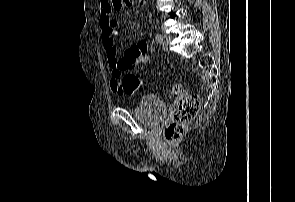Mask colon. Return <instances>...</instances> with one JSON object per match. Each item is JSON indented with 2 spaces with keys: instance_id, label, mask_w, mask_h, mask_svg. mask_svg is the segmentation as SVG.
<instances>
[{
  "instance_id": "5ec220e1",
  "label": "colon",
  "mask_w": 295,
  "mask_h": 202,
  "mask_svg": "<svg viewBox=\"0 0 295 202\" xmlns=\"http://www.w3.org/2000/svg\"><path fill=\"white\" fill-rule=\"evenodd\" d=\"M115 7L121 8L123 6H130L132 0H111ZM148 52H142V65L149 64ZM148 83L138 79L134 74H126L122 78L121 89L124 93L134 94L137 90H144ZM182 91L181 84H175L172 88V93H180ZM200 98L196 94L188 95L181 98L174 109V118L165 128L164 136L169 142L179 140L185 133L186 125L197 114Z\"/></svg>"
}]
</instances>
